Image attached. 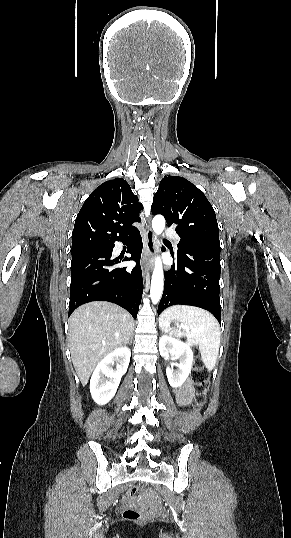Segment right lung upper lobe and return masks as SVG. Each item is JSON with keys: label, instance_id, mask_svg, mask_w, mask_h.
<instances>
[{"label": "right lung upper lobe", "instance_id": "cb5924a9", "mask_svg": "<svg viewBox=\"0 0 291 538\" xmlns=\"http://www.w3.org/2000/svg\"><path fill=\"white\" fill-rule=\"evenodd\" d=\"M143 206L129 184L116 178L101 184L85 200L72 233V248L110 246L137 230Z\"/></svg>", "mask_w": 291, "mask_h": 538}]
</instances>
